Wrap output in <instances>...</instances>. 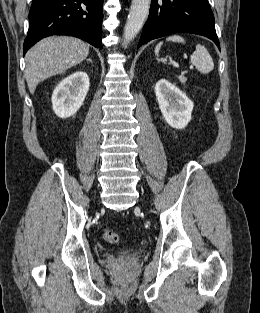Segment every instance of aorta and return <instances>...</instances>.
I'll list each match as a JSON object with an SVG mask.
<instances>
[{"label": "aorta", "mask_w": 260, "mask_h": 313, "mask_svg": "<svg viewBox=\"0 0 260 313\" xmlns=\"http://www.w3.org/2000/svg\"><path fill=\"white\" fill-rule=\"evenodd\" d=\"M151 0H132L124 27V45L132 41L141 30L149 13Z\"/></svg>", "instance_id": "obj_1"}]
</instances>
